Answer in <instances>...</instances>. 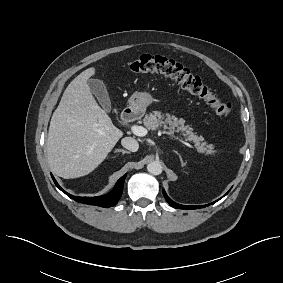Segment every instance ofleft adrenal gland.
I'll use <instances>...</instances> for the list:
<instances>
[{"label":"left adrenal gland","mask_w":283,"mask_h":283,"mask_svg":"<svg viewBox=\"0 0 283 283\" xmlns=\"http://www.w3.org/2000/svg\"><path fill=\"white\" fill-rule=\"evenodd\" d=\"M174 152L179 156L181 166L184 167L186 165V163L183 161L181 155L177 151H174Z\"/></svg>","instance_id":"a2214340"}]
</instances>
